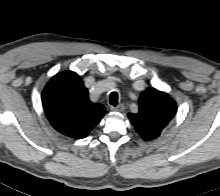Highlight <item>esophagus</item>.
Listing matches in <instances>:
<instances>
[{
    "label": "esophagus",
    "instance_id": "esophagus-1",
    "mask_svg": "<svg viewBox=\"0 0 220 196\" xmlns=\"http://www.w3.org/2000/svg\"><path fill=\"white\" fill-rule=\"evenodd\" d=\"M110 110L113 112H122L124 110V106L122 104L118 106H112L110 107Z\"/></svg>",
    "mask_w": 220,
    "mask_h": 196
}]
</instances>
